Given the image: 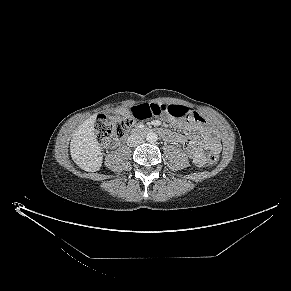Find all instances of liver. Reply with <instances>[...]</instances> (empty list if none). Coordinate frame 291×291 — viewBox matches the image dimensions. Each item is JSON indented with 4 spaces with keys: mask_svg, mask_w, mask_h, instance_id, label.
<instances>
[{
    "mask_svg": "<svg viewBox=\"0 0 291 291\" xmlns=\"http://www.w3.org/2000/svg\"><path fill=\"white\" fill-rule=\"evenodd\" d=\"M96 115L86 119L71 140L70 153L73 161L88 172H96L102 165V152L94 133Z\"/></svg>",
    "mask_w": 291,
    "mask_h": 291,
    "instance_id": "liver-1",
    "label": "liver"
}]
</instances>
